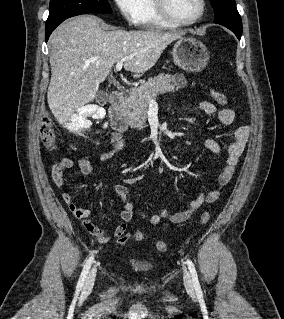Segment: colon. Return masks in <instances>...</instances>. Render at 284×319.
Listing matches in <instances>:
<instances>
[{
    "label": "colon",
    "mask_w": 284,
    "mask_h": 319,
    "mask_svg": "<svg viewBox=\"0 0 284 319\" xmlns=\"http://www.w3.org/2000/svg\"><path fill=\"white\" fill-rule=\"evenodd\" d=\"M211 96L213 100L219 105L227 104V97L222 92H219L217 90H212ZM40 137H41L42 143L44 144L46 148L50 150L54 148L56 135L53 129L52 121L49 117H44L41 122ZM209 219H210V214L209 212L205 211L200 217V222L202 224H205L209 221ZM143 237H144L143 233L138 231V232H135L133 235L127 234L118 238V243L126 244L131 238H134L136 241H141ZM156 248L158 251L164 252L167 249V244L164 241H158L156 243Z\"/></svg>",
    "instance_id": "colon-1"
}]
</instances>
